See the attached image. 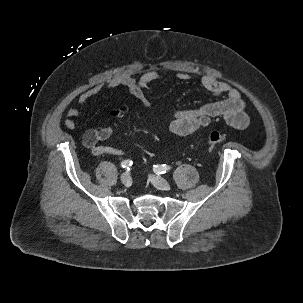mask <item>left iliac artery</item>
Instances as JSON below:
<instances>
[{"label":"left iliac artery","mask_w":303,"mask_h":303,"mask_svg":"<svg viewBox=\"0 0 303 303\" xmlns=\"http://www.w3.org/2000/svg\"><path fill=\"white\" fill-rule=\"evenodd\" d=\"M171 169L170 166H167L165 164L163 165H154L153 166V170L156 174H164L166 173L167 171H169Z\"/></svg>","instance_id":"left-iliac-artery-1"}]
</instances>
